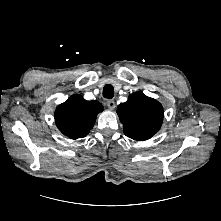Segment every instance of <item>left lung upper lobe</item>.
Wrapping results in <instances>:
<instances>
[{"mask_svg":"<svg viewBox=\"0 0 221 221\" xmlns=\"http://www.w3.org/2000/svg\"><path fill=\"white\" fill-rule=\"evenodd\" d=\"M163 113L157 100L141 92L130 94L127 102L118 105L117 109L124 134L138 141L151 138L160 129Z\"/></svg>","mask_w":221,"mask_h":221,"instance_id":"obj_1","label":"left lung upper lobe"}]
</instances>
